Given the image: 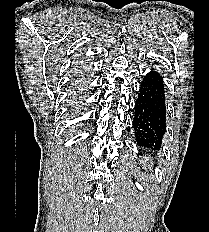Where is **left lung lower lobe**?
Wrapping results in <instances>:
<instances>
[{
	"instance_id": "0a47b994",
	"label": "left lung lower lobe",
	"mask_w": 209,
	"mask_h": 232,
	"mask_svg": "<svg viewBox=\"0 0 209 232\" xmlns=\"http://www.w3.org/2000/svg\"><path fill=\"white\" fill-rule=\"evenodd\" d=\"M163 79L150 71L141 81L135 103L133 127L137 144L159 149L166 133V105Z\"/></svg>"
}]
</instances>
